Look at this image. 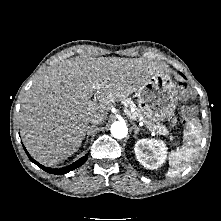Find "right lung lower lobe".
<instances>
[{
	"instance_id": "1",
	"label": "right lung lower lobe",
	"mask_w": 221,
	"mask_h": 221,
	"mask_svg": "<svg viewBox=\"0 0 221 221\" xmlns=\"http://www.w3.org/2000/svg\"><path fill=\"white\" fill-rule=\"evenodd\" d=\"M24 150L26 152V154L28 155L29 159L35 163L37 166H39L41 169H43L44 171L48 172V173H51V174H57V175H62V174H66L68 173L69 171H72L78 167H80L87 159V156L88 154H86L85 156H83L82 158H80L79 160H77L76 162H74L73 164L67 166V167H64V168H60V169H54V168H48V167H45L43 165H41L40 163H38L37 161H35L31 156L30 154L27 152V150L25 149L24 147Z\"/></svg>"
}]
</instances>
